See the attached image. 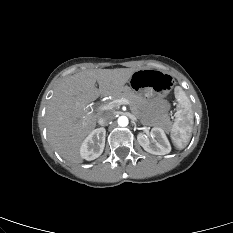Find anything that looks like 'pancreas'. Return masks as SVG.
<instances>
[{
  "label": "pancreas",
  "instance_id": "pancreas-1",
  "mask_svg": "<svg viewBox=\"0 0 233 233\" xmlns=\"http://www.w3.org/2000/svg\"><path fill=\"white\" fill-rule=\"evenodd\" d=\"M114 99H121L125 98L129 101V105L131 107L132 113L137 116L143 123L151 124L154 126H162L165 127L167 125H170V122L167 118H159V119H152L150 121H147L143 114L141 113L142 106L145 104V101L142 97H140L138 94L134 93L129 87H124L122 91L113 96Z\"/></svg>",
  "mask_w": 233,
  "mask_h": 233
}]
</instances>
